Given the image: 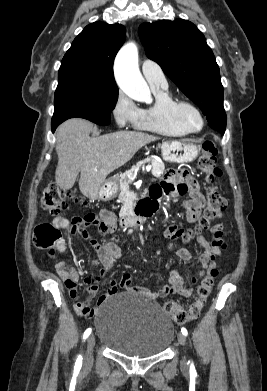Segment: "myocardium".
<instances>
[{"label": "myocardium", "mask_w": 267, "mask_h": 391, "mask_svg": "<svg viewBox=\"0 0 267 391\" xmlns=\"http://www.w3.org/2000/svg\"><path fill=\"white\" fill-rule=\"evenodd\" d=\"M186 109L193 110L200 118L201 126L198 129H192L186 123L183 113ZM172 115L175 120L182 126L188 133H198L205 127V117L201 109L188 100H175L171 108Z\"/></svg>", "instance_id": "1"}]
</instances>
